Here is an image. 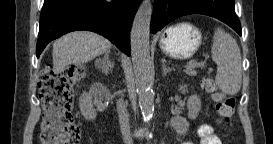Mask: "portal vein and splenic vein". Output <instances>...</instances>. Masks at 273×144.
I'll return each mask as SVG.
<instances>
[{
  "instance_id": "18ae733b",
  "label": "portal vein and splenic vein",
  "mask_w": 273,
  "mask_h": 144,
  "mask_svg": "<svg viewBox=\"0 0 273 144\" xmlns=\"http://www.w3.org/2000/svg\"><path fill=\"white\" fill-rule=\"evenodd\" d=\"M204 64L203 63H197V62H193V63H189L186 68L189 69H194L195 67H203Z\"/></svg>"
}]
</instances>
